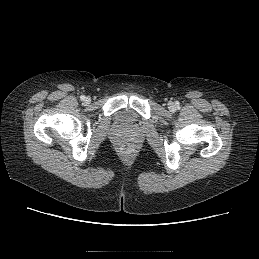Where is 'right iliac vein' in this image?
Returning a JSON list of instances; mask_svg holds the SVG:
<instances>
[{
    "label": "right iliac vein",
    "mask_w": 259,
    "mask_h": 259,
    "mask_svg": "<svg viewBox=\"0 0 259 259\" xmlns=\"http://www.w3.org/2000/svg\"><path fill=\"white\" fill-rule=\"evenodd\" d=\"M85 102L88 104V103H90V99L89 98H86L85 99Z\"/></svg>",
    "instance_id": "obj_1"
}]
</instances>
